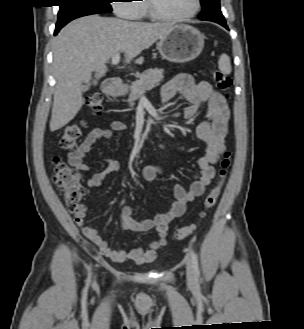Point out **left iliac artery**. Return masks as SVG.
<instances>
[{
    "instance_id": "left-iliac-artery-1",
    "label": "left iliac artery",
    "mask_w": 304,
    "mask_h": 329,
    "mask_svg": "<svg viewBox=\"0 0 304 329\" xmlns=\"http://www.w3.org/2000/svg\"><path fill=\"white\" fill-rule=\"evenodd\" d=\"M190 256H191V262H192V267H193L194 274H195L196 277H198L199 274H200L199 265H198V258H197L194 251H191Z\"/></svg>"
}]
</instances>
